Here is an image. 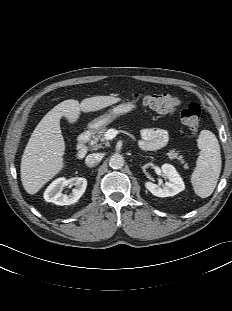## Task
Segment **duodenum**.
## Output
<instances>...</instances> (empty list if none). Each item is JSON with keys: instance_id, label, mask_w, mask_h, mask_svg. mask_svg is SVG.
Segmentation results:
<instances>
[{"instance_id": "1", "label": "duodenum", "mask_w": 232, "mask_h": 311, "mask_svg": "<svg viewBox=\"0 0 232 311\" xmlns=\"http://www.w3.org/2000/svg\"><path fill=\"white\" fill-rule=\"evenodd\" d=\"M90 139V132L89 131H84L82 132L77 141V150H76V158L81 160L83 159L88 151L87 148V143Z\"/></svg>"}]
</instances>
